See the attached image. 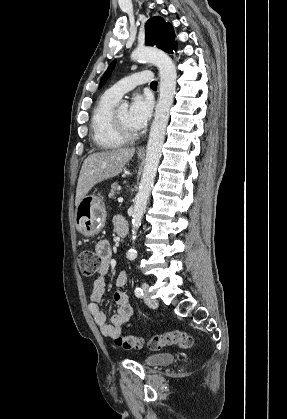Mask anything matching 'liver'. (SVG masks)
<instances>
[{
    "instance_id": "liver-1",
    "label": "liver",
    "mask_w": 287,
    "mask_h": 419,
    "mask_svg": "<svg viewBox=\"0 0 287 419\" xmlns=\"http://www.w3.org/2000/svg\"><path fill=\"white\" fill-rule=\"evenodd\" d=\"M134 153V148H120L90 154L84 160L80 171L75 197L76 207L96 184L119 175Z\"/></svg>"
}]
</instances>
